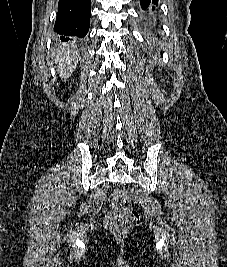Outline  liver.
Here are the masks:
<instances>
[{"instance_id": "6515ba94", "label": "liver", "mask_w": 227, "mask_h": 267, "mask_svg": "<svg viewBox=\"0 0 227 267\" xmlns=\"http://www.w3.org/2000/svg\"><path fill=\"white\" fill-rule=\"evenodd\" d=\"M76 54L77 52L75 50H65L62 49L58 52L57 60L59 62L58 64V70L59 75L61 78H64L66 80L69 78V76L73 73L74 69L76 68Z\"/></svg>"}]
</instances>
